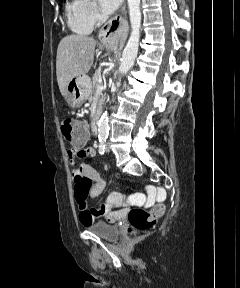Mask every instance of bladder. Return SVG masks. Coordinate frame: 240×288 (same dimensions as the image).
Listing matches in <instances>:
<instances>
[{
    "label": "bladder",
    "mask_w": 240,
    "mask_h": 288,
    "mask_svg": "<svg viewBox=\"0 0 240 288\" xmlns=\"http://www.w3.org/2000/svg\"><path fill=\"white\" fill-rule=\"evenodd\" d=\"M88 230L106 240H116L119 237V229L116 225L102 221L89 225Z\"/></svg>",
    "instance_id": "1"
}]
</instances>
